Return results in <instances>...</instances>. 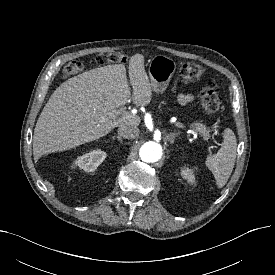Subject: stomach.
Instances as JSON below:
<instances>
[{
  "label": "stomach",
  "mask_w": 275,
  "mask_h": 275,
  "mask_svg": "<svg viewBox=\"0 0 275 275\" xmlns=\"http://www.w3.org/2000/svg\"><path fill=\"white\" fill-rule=\"evenodd\" d=\"M176 69V63L169 57L156 55L149 63V77L152 90L162 93L167 88Z\"/></svg>",
  "instance_id": "obj_1"
}]
</instances>
